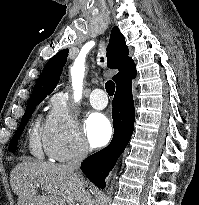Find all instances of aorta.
<instances>
[{"label": "aorta", "instance_id": "762f6f07", "mask_svg": "<svg viewBox=\"0 0 199 205\" xmlns=\"http://www.w3.org/2000/svg\"><path fill=\"white\" fill-rule=\"evenodd\" d=\"M84 67L83 66H74L71 70L72 75V86L74 89V99L79 101L82 96V85L84 78Z\"/></svg>", "mask_w": 199, "mask_h": 205}]
</instances>
